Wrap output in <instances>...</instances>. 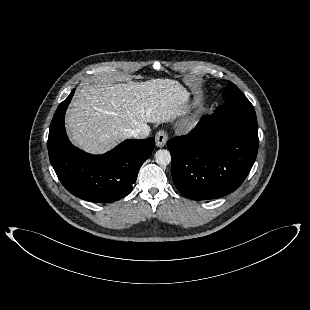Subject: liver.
Wrapping results in <instances>:
<instances>
[{"instance_id":"liver-1","label":"liver","mask_w":310,"mask_h":310,"mask_svg":"<svg viewBox=\"0 0 310 310\" xmlns=\"http://www.w3.org/2000/svg\"><path fill=\"white\" fill-rule=\"evenodd\" d=\"M187 90L176 80L84 85L66 115L74 145L100 154L129 138L127 129L149 134L148 123L174 120L186 113Z\"/></svg>"}]
</instances>
